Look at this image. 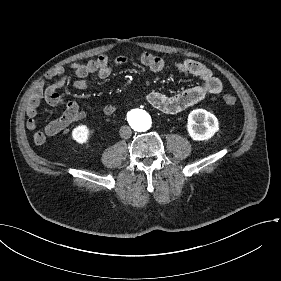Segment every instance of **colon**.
I'll return each instance as SVG.
<instances>
[{
    "label": "colon",
    "instance_id": "colon-1",
    "mask_svg": "<svg viewBox=\"0 0 281 281\" xmlns=\"http://www.w3.org/2000/svg\"><path fill=\"white\" fill-rule=\"evenodd\" d=\"M223 102L226 104V105H229V106H232L236 103V98L232 95H225L223 97Z\"/></svg>",
    "mask_w": 281,
    "mask_h": 281
}]
</instances>
